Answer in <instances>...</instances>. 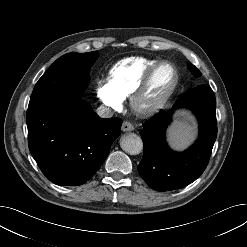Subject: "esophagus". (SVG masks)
<instances>
[{
    "label": "esophagus",
    "mask_w": 247,
    "mask_h": 247,
    "mask_svg": "<svg viewBox=\"0 0 247 247\" xmlns=\"http://www.w3.org/2000/svg\"><path fill=\"white\" fill-rule=\"evenodd\" d=\"M133 130H134V126L130 122L124 121L122 123V131L130 132V131H133Z\"/></svg>",
    "instance_id": "34e87169"
}]
</instances>
